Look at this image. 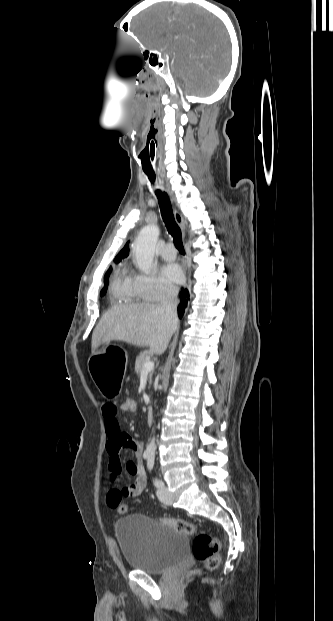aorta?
Listing matches in <instances>:
<instances>
[{"instance_id": "obj_1", "label": "aorta", "mask_w": 333, "mask_h": 621, "mask_svg": "<svg viewBox=\"0 0 333 621\" xmlns=\"http://www.w3.org/2000/svg\"><path fill=\"white\" fill-rule=\"evenodd\" d=\"M160 234L159 227L147 225L139 232L134 242V254L138 268L145 274H149L154 258L155 247ZM156 450V439L153 437L147 446L144 454L154 457Z\"/></svg>"}]
</instances>
